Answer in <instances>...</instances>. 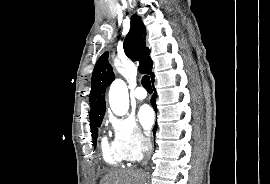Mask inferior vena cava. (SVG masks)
Here are the masks:
<instances>
[{"mask_svg": "<svg viewBox=\"0 0 270 184\" xmlns=\"http://www.w3.org/2000/svg\"><path fill=\"white\" fill-rule=\"evenodd\" d=\"M143 148L146 154V160L142 162L143 165L147 164L148 159L150 158V154L152 152V144L150 139H143Z\"/></svg>", "mask_w": 270, "mask_h": 184, "instance_id": "602c4592", "label": "inferior vena cava"}]
</instances>
